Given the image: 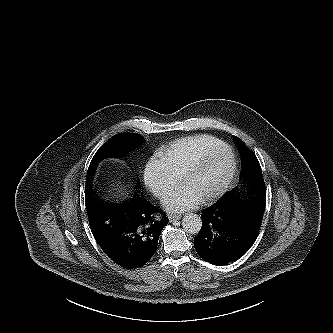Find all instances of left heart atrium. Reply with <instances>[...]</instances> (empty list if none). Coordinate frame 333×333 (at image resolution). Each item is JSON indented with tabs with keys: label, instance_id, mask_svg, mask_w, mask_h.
Segmentation results:
<instances>
[{
	"label": "left heart atrium",
	"instance_id": "left-heart-atrium-1",
	"mask_svg": "<svg viewBox=\"0 0 333 333\" xmlns=\"http://www.w3.org/2000/svg\"><path fill=\"white\" fill-rule=\"evenodd\" d=\"M201 196L188 185L175 188L163 198L164 207L173 212H181L195 207Z\"/></svg>",
	"mask_w": 333,
	"mask_h": 333
}]
</instances>
